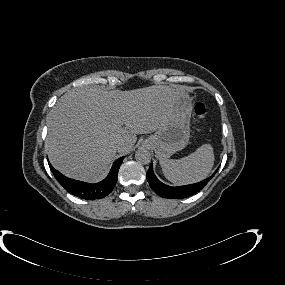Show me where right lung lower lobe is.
<instances>
[{
  "label": "right lung lower lobe",
  "instance_id": "1",
  "mask_svg": "<svg viewBox=\"0 0 285 285\" xmlns=\"http://www.w3.org/2000/svg\"><path fill=\"white\" fill-rule=\"evenodd\" d=\"M123 159L124 157L119 158L113 164L111 172L107 178L96 184H90L67 178L54 169L49 162L48 163L55 178L70 194L82 199L94 200L104 198L113 190L118 179V171Z\"/></svg>",
  "mask_w": 285,
  "mask_h": 285
}]
</instances>
